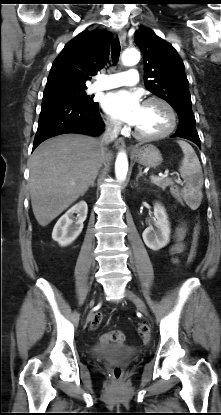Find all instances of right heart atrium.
<instances>
[{
  "label": "right heart atrium",
  "instance_id": "obj_1",
  "mask_svg": "<svg viewBox=\"0 0 221 415\" xmlns=\"http://www.w3.org/2000/svg\"><path fill=\"white\" fill-rule=\"evenodd\" d=\"M105 123H106L107 129L112 133H117L121 129L120 124L114 119L107 118L105 120Z\"/></svg>",
  "mask_w": 221,
  "mask_h": 415
}]
</instances>
